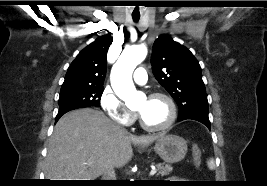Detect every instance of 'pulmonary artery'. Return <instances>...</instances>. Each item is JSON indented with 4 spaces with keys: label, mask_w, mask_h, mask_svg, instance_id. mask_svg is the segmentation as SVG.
<instances>
[{
    "label": "pulmonary artery",
    "mask_w": 267,
    "mask_h": 186,
    "mask_svg": "<svg viewBox=\"0 0 267 186\" xmlns=\"http://www.w3.org/2000/svg\"><path fill=\"white\" fill-rule=\"evenodd\" d=\"M133 79L138 84H144L147 81V72L144 68L139 67L133 74Z\"/></svg>",
    "instance_id": "obj_1"
}]
</instances>
